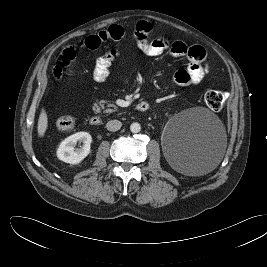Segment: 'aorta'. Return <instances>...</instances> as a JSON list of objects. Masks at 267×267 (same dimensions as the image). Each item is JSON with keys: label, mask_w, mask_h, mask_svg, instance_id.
Masks as SVG:
<instances>
[{"label": "aorta", "mask_w": 267, "mask_h": 267, "mask_svg": "<svg viewBox=\"0 0 267 267\" xmlns=\"http://www.w3.org/2000/svg\"><path fill=\"white\" fill-rule=\"evenodd\" d=\"M130 130L132 133H138L141 130V126L139 123H132L130 126Z\"/></svg>", "instance_id": "1"}]
</instances>
